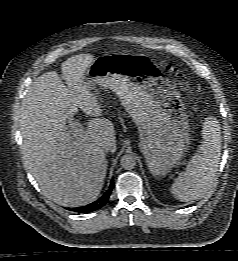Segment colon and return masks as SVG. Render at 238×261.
Returning a JSON list of instances; mask_svg holds the SVG:
<instances>
[{
  "instance_id": "colon-1",
  "label": "colon",
  "mask_w": 238,
  "mask_h": 261,
  "mask_svg": "<svg viewBox=\"0 0 238 261\" xmlns=\"http://www.w3.org/2000/svg\"><path fill=\"white\" fill-rule=\"evenodd\" d=\"M167 70L173 75L175 83L182 89V90H188L189 84L186 81L183 73L179 71L177 68L167 65Z\"/></svg>"
}]
</instances>
